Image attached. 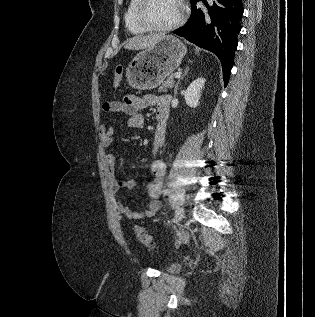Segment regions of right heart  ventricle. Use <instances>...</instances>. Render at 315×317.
<instances>
[{
	"instance_id": "obj_1",
	"label": "right heart ventricle",
	"mask_w": 315,
	"mask_h": 317,
	"mask_svg": "<svg viewBox=\"0 0 315 317\" xmlns=\"http://www.w3.org/2000/svg\"><path fill=\"white\" fill-rule=\"evenodd\" d=\"M138 3L139 0H130L124 15L125 26L127 30L134 35H139L146 32L145 29L137 24L135 19V10Z\"/></svg>"
}]
</instances>
